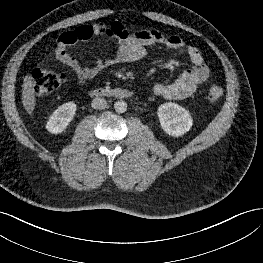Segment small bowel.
Returning a JSON list of instances; mask_svg holds the SVG:
<instances>
[{
  "mask_svg": "<svg viewBox=\"0 0 263 263\" xmlns=\"http://www.w3.org/2000/svg\"><path fill=\"white\" fill-rule=\"evenodd\" d=\"M98 36H105L117 42V50L112 57L97 59L93 64H82L67 51L68 46H79ZM151 46L167 50L184 49L192 64V68L183 71L173 82L156 83L153 86L155 95L171 100L184 99L193 95L198 85L208 79L210 69L198 48L186 45L179 36H165L154 29L145 28L131 32L117 21L82 25L63 33L57 40L55 57L75 73L76 83L83 85L112 65L141 60Z\"/></svg>",
  "mask_w": 263,
  "mask_h": 263,
  "instance_id": "small-bowel-1",
  "label": "small bowel"
}]
</instances>
